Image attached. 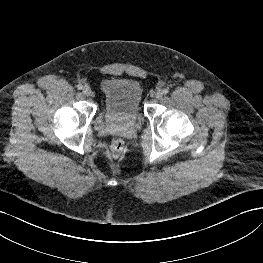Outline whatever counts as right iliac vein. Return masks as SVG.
Segmentation results:
<instances>
[{
	"mask_svg": "<svg viewBox=\"0 0 263 263\" xmlns=\"http://www.w3.org/2000/svg\"><path fill=\"white\" fill-rule=\"evenodd\" d=\"M82 92L86 96H91V94H92V90L89 86H84Z\"/></svg>",
	"mask_w": 263,
	"mask_h": 263,
	"instance_id": "1",
	"label": "right iliac vein"
}]
</instances>
